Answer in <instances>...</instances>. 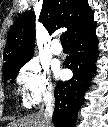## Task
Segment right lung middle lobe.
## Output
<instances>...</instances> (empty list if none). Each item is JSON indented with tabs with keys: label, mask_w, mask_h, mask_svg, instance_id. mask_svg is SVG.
Listing matches in <instances>:
<instances>
[{
	"label": "right lung middle lobe",
	"mask_w": 108,
	"mask_h": 127,
	"mask_svg": "<svg viewBox=\"0 0 108 127\" xmlns=\"http://www.w3.org/2000/svg\"><path fill=\"white\" fill-rule=\"evenodd\" d=\"M30 59L13 64V65H4L3 66V73L5 79L14 78L17 76L19 69Z\"/></svg>",
	"instance_id": "right-lung-middle-lobe-1"
}]
</instances>
